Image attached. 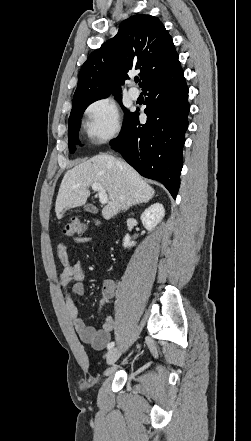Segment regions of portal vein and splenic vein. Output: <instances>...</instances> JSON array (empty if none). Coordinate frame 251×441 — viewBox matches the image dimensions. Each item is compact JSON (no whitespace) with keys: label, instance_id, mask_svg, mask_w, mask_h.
Here are the masks:
<instances>
[{"label":"portal vein and splenic vein","instance_id":"18ae733b","mask_svg":"<svg viewBox=\"0 0 251 441\" xmlns=\"http://www.w3.org/2000/svg\"><path fill=\"white\" fill-rule=\"evenodd\" d=\"M92 189L98 193L99 195V201L101 204H107L108 203V195L106 193V190L102 187L99 183H93Z\"/></svg>","mask_w":251,"mask_h":441}]
</instances>
